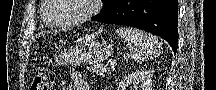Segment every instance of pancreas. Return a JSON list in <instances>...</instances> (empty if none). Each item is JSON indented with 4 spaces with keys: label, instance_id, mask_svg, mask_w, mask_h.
<instances>
[{
    "label": "pancreas",
    "instance_id": "obj_1",
    "mask_svg": "<svg viewBox=\"0 0 216 90\" xmlns=\"http://www.w3.org/2000/svg\"><path fill=\"white\" fill-rule=\"evenodd\" d=\"M91 72H95V74H106V68H103L101 64H92Z\"/></svg>",
    "mask_w": 216,
    "mask_h": 90
}]
</instances>
